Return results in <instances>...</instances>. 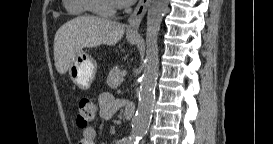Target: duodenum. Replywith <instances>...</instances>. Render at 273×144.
I'll use <instances>...</instances> for the list:
<instances>
[{
	"label": "duodenum",
	"instance_id": "1",
	"mask_svg": "<svg viewBox=\"0 0 273 144\" xmlns=\"http://www.w3.org/2000/svg\"><path fill=\"white\" fill-rule=\"evenodd\" d=\"M124 116L127 120H132L135 114L134 105L130 102H123Z\"/></svg>",
	"mask_w": 273,
	"mask_h": 144
}]
</instances>
